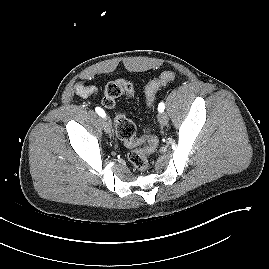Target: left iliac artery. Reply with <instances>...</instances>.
<instances>
[{
	"mask_svg": "<svg viewBox=\"0 0 269 269\" xmlns=\"http://www.w3.org/2000/svg\"><path fill=\"white\" fill-rule=\"evenodd\" d=\"M165 109V104L163 102L159 103L158 105V111L162 113Z\"/></svg>",
	"mask_w": 269,
	"mask_h": 269,
	"instance_id": "1",
	"label": "left iliac artery"
}]
</instances>
